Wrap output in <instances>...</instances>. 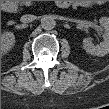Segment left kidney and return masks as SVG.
<instances>
[{
	"label": "left kidney",
	"mask_w": 109,
	"mask_h": 109,
	"mask_svg": "<svg viewBox=\"0 0 109 109\" xmlns=\"http://www.w3.org/2000/svg\"><path fill=\"white\" fill-rule=\"evenodd\" d=\"M99 23L106 30L104 41L99 45H94L89 38H84L83 48L89 54L104 56L109 53V20L107 17H102L99 20Z\"/></svg>",
	"instance_id": "obj_1"
}]
</instances>
